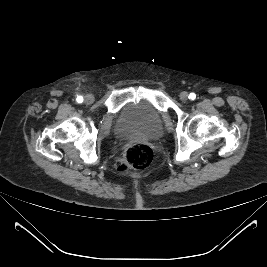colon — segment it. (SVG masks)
Returning a JSON list of instances; mask_svg holds the SVG:
<instances>
[{
  "instance_id": "5ec220e1",
  "label": "colon",
  "mask_w": 267,
  "mask_h": 267,
  "mask_svg": "<svg viewBox=\"0 0 267 267\" xmlns=\"http://www.w3.org/2000/svg\"><path fill=\"white\" fill-rule=\"evenodd\" d=\"M154 164L152 149L143 143H132L124 151L123 156L117 161L120 172L142 170Z\"/></svg>"
}]
</instances>
